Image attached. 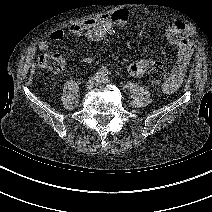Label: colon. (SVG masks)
I'll use <instances>...</instances> for the list:
<instances>
[{
    "label": "colon",
    "mask_w": 212,
    "mask_h": 212,
    "mask_svg": "<svg viewBox=\"0 0 212 212\" xmlns=\"http://www.w3.org/2000/svg\"><path fill=\"white\" fill-rule=\"evenodd\" d=\"M40 65L52 72H63L67 68L65 57L54 51H49L39 57ZM148 78L151 82L156 84H163L167 82L168 73L164 65L155 63L148 73Z\"/></svg>",
    "instance_id": "5ec220e1"
}]
</instances>
